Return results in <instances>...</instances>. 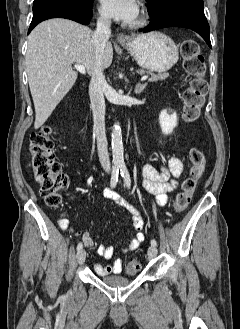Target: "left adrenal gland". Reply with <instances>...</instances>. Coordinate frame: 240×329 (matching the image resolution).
<instances>
[{
	"instance_id": "a2214340",
	"label": "left adrenal gland",
	"mask_w": 240,
	"mask_h": 329,
	"mask_svg": "<svg viewBox=\"0 0 240 329\" xmlns=\"http://www.w3.org/2000/svg\"><path fill=\"white\" fill-rule=\"evenodd\" d=\"M145 87H146V83L145 84L138 83L135 88V93L140 94L144 90Z\"/></svg>"
}]
</instances>
